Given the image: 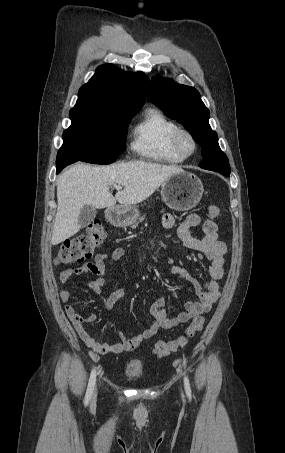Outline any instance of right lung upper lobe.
I'll return each instance as SVG.
<instances>
[{"mask_svg":"<svg viewBox=\"0 0 285 453\" xmlns=\"http://www.w3.org/2000/svg\"><path fill=\"white\" fill-rule=\"evenodd\" d=\"M149 83L142 72L129 75L113 64H104L80 88L75 107L139 111L145 103Z\"/></svg>","mask_w":285,"mask_h":453,"instance_id":"cb5924a9","label":"right lung upper lobe"}]
</instances>
